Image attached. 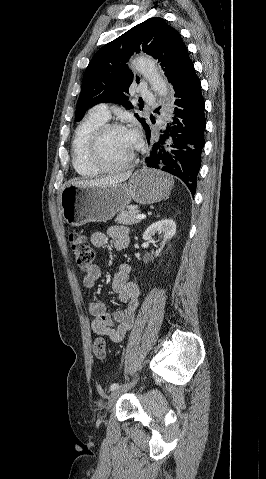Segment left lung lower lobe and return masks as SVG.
I'll use <instances>...</instances> for the list:
<instances>
[{
  "instance_id": "0a47b994",
  "label": "left lung lower lobe",
  "mask_w": 266,
  "mask_h": 479,
  "mask_svg": "<svg viewBox=\"0 0 266 479\" xmlns=\"http://www.w3.org/2000/svg\"><path fill=\"white\" fill-rule=\"evenodd\" d=\"M175 91V114L172 128L159 142H151L145 162L148 167L168 172L180 178L192 195L196 192L197 176L204 147V99L194 65L189 62L172 84ZM150 142L151 130L144 128Z\"/></svg>"
}]
</instances>
